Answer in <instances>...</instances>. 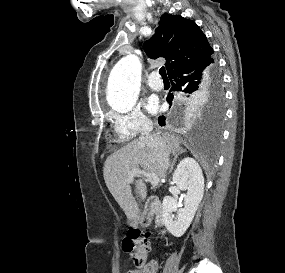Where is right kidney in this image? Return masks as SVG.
<instances>
[{"label":"right kidney","mask_w":285,"mask_h":273,"mask_svg":"<svg viewBox=\"0 0 285 273\" xmlns=\"http://www.w3.org/2000/svg\"><path fill=\"white\" fill-rule=\"evenodd\" d=\"M173 181L177 187L186 191L184 208H177L176 200L166 196L163 200V222L175 237H181L190 226L204 194V177L199 164L191 157L180 161ZM177 213L175 216L174 213Z\"/></svg>","instance_id":"obj_1"}]
</instances>
